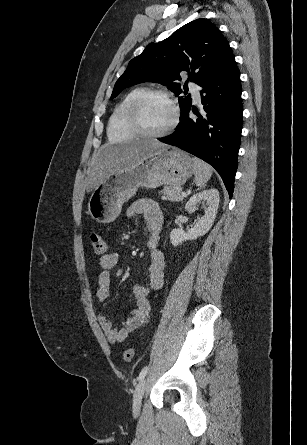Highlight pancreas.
<instances>
[{"mask_svg":"<svg viewBox=\"0 0 307 445\" xmlns=\"http://www.w3.org/2000/svg\"><path fill=\"white\" fill-rule=\"evenodd\" d=\"M182 186H164L161 192L163 200H183L181 196Z\"/></svg>","mask_w":307,"mask_h":445,"instance_id":"cf45deb5","label":"pancreas"}]
</instances>
